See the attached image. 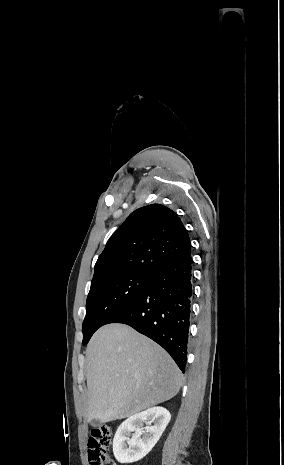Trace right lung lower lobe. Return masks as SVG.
Segmentation results:
<instances>
[{"label": "right lung lower lobe", "mask_w": 284, "mask_h": 465, "mask_svg": "<svg viewBox=\"0 0 284 465\" xmlns=\"http://www.w3.org/2000/svg\"><path fill=\"white\" fill-rule=\"evenodd\" d=\"M191 250L153 276L106 324L123 323L161 345L184 372L193 300Z\"/></svg>", "instance_id": "98d812e1"}]
</instances>
